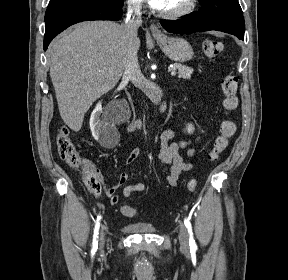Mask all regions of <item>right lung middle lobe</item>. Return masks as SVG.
<instances>
[{"label": "right lung middle lobe", "instance_id": "right-lung-middle-lobe-1", "mask_svg": "<svg viewBox=\"0 0 288 280\" xmlns=\"http://www.w3.org/2000/svg\"><path fill=\"white\" fill-rule=\"evenodd\" d=\"M57 1L59 0H50L49 4L55 3ZM105 1L110 2L114 5H118V6H123L124 4V0H105Z\"/></svg>", "mask_w": 288, "mask_h": 280}]
</instances>
